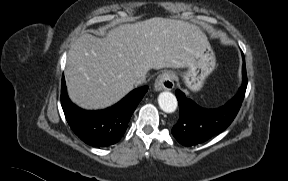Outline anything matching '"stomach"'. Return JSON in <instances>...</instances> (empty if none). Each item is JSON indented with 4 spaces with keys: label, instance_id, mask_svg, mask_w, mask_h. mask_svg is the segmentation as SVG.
Instances as JSON below:
<instances>
[{
    "label": "stomach",
    "instance_id": "obj_1",
    "mask_svg": "<svg viewBox=\"0 0 288 181\" xmlns=\"http://www.w3.org/2000/svg\"><path fill=\"white\" fill-rule=\"evenodd\" d=\"M216 65L215 54L206 36L193 48L183 80L191 91H199L206 78L213 72Z\"/></svg>",
    "mask_w": 288,
    "mask_h": 181
}]
</instances>
